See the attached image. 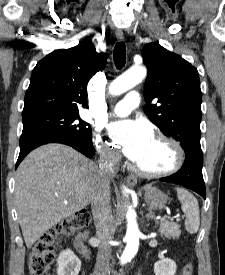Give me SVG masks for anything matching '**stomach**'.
Returning <instances> with one entry per match:
<instances>
[{"label": "stomach", "instance_id": "stomach-1", "mask_svg": "<svg viewBox=\"0 0 225 275\" xmlns=\"http://www.w3.org/2000/svg\"><path fill=\"white\" fill-rule=\"evenodd\" d=\"M144 197L149 208L153 210H160L167 203V196L155 187H148Z\"/></svg>", "mask_w": 225, "mask_h": 275}]
</instances>
